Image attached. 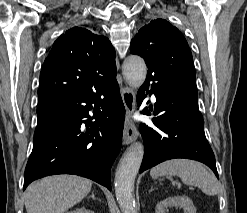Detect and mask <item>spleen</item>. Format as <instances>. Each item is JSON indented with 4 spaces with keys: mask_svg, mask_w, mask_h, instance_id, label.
Returning a JSON list of instances; mask_svg holds the SVG:
<instances>
[{
    "mask_svg": "<svg viewBox=\"0 0 247 213\" xmlns=\"http://www.w3.org/2000/svg\"><path fill=\"white\" fill-rule=\"evenodd\" d=\"M152 177L177 175L187 185L199 187L202 192L214 196L219 191L217 178L201 163L187 159H173L165 161L151 169Z\"/></svg>",
    "mask_w": 247,
    "mask_h": 213,
    "instance_id": "1",
    "label": "spleen"
}]
</instances>
